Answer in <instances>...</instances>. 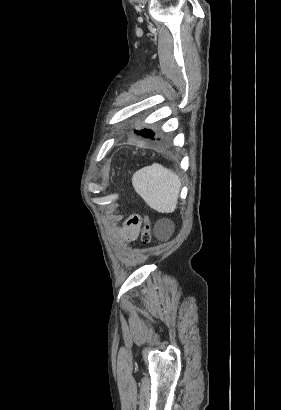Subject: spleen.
<instances>
[{"label":"spleen","instance_id":"1","mask_svg":"<svg viewBox=\"0 0 281 410\" xmlns=\"http://www.w3.org/2000/svg\"><path fill=\"white\" fill-rule=\"evenodd\" d=\"M132 185L150 208L160 213L176 209L181 180L172 170L154 163L135 172Z\"/></svg>","mask_w":281,"mask_h":410}]
</instances>
